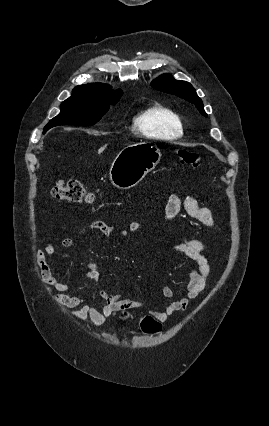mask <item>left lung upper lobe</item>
I'll list each match as a JSON object with an SVG mask.
<instances>
[{"label":"left lung upper lobe","instance_id":"1","mask_svg":"<svg viewBox=\"0 0 269 426\" xmlns=\"http://www.w3.org/2000/svg\"><path fill=\"white\" fill-rule=\"evenodd\" d=\"M152 87L170 94H175L193 104L197 107L199 112L207 117L203 109L202 100L197 96L195 89L186 81L175 80L171 75L164 74L155 79L151 83Z\"/></svg>","mask_w":269,"mask_h":426}]
</instances>
